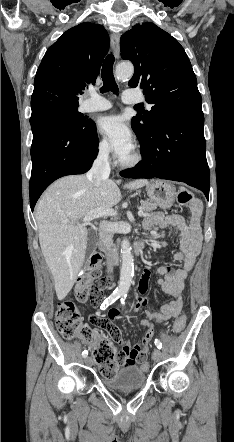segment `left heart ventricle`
I'll use <instances>...</instances> for the list:
<instances>
[{
  "label": "left heart ventricle",
  "mask_w": 234,
  "mask_h": 442,
  "mask_svg": "<svg viewBox=\"0 0 234 442\" xmlns=\"http://www.w3.org/2000/svg\"><path fill=\"white\" fill-rule=\"evenodd\" d=\"M132 153H133V151H132L129 155H127L125 158H123V159H128V158H130V157L132 156Z\"/></svg>",
  "instance_id": "obj_1"
}]
</instances>
